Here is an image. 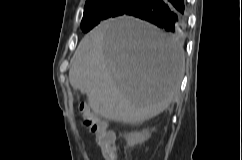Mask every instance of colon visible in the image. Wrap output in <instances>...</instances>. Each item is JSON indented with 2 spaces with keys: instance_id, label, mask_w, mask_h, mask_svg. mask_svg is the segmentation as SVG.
I'll use <instances>...</instances> for the list:
<instances>
[{
  "instance_id": "obj_1",
  "label": "colon",
  "mask_w": 242,
  "mask_h": 160,
  "mask_svg": "<svg viewBox=\"0 0 242 160\" xmlns=\"http://www.w3.org/2000/svg\"><path fill=\"white\" fill-rule=\"evenodd\" d=\"M80 115L83 125L95 137V143L102 152L105 160H114L115 151L113 147L114 135L107 129L106 123L89 110L86 105L80 106Z\"/></svg>"
}]
</instances>
